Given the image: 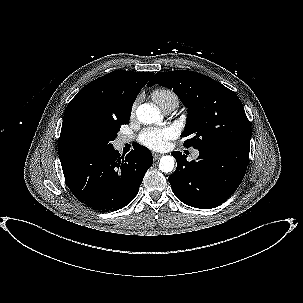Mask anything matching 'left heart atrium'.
<instances>
[{
	"label": "left heart atrium",
	"instance_id": "obj_1",
	"mask_svg": "<svg viewBox=\"0 0 303 303\" xmlns=\"http://www.w3.org/2000/svg\"><path fill=\"white\" fill-rule=\"evenodd\" d=\"M176 135L177 131L172 126L149 127L141 132L139 142L152 150H164L168 147L169 141L174 139Z\"/></svg>",
	"mask_w": 303,
	"mask_h": 303
}]
</instances>
